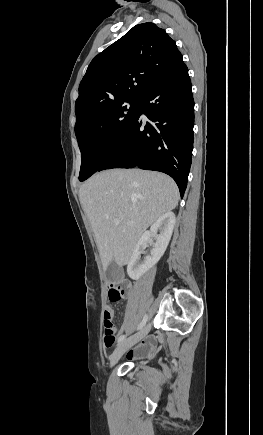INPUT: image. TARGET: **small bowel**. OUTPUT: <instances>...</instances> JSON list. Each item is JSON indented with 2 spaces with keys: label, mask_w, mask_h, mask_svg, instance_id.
<instances>
[{
  "label": "small bowel",
  "mask_w": 263,
  "mask_h": 435,
  "mask_svg": "<svg viewBox=\"0 0 263 435\" xmlns=\"http://www.w3.org/2000/svg\"><path fill=\"white\" fill-rule=\"evenodd\" d=\"M105 311L110 312L111 316L113 317V311L109 306H107L105 308ZM128 325H129L128 321H125L122 324V326L118 332L119 337L125 332ZM153 344H154L153 339H147V340L143 341L141 345H139L135 350H133L129 353L128 357L131 359V358L143 356L145 353H147L153 347Z\"/></svg>",
  "instance_id": "small-bowel-1"
}]
</instances>
